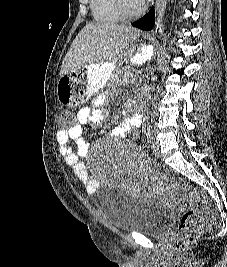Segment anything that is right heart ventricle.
Instances as JSON below:
<instances>
[{
	"mask_svg": "<svg viewBox=\"0 0 227 267\" xmlns=\"http://www.w3.org/2000/svg\"><path fill=\"white\" fill-rule=\"evenodd\" d=\"M92 14L97 22L112 24L122 20L114 0H90Z\"/></svg>",
	"mask_w": 227,
	"mask_h": 267,
	"instance_id": "1",
	"label": "right heart ventricle"
}]
</instances>
